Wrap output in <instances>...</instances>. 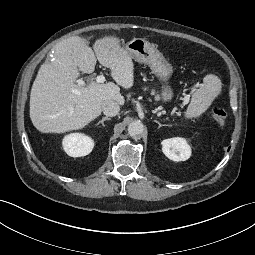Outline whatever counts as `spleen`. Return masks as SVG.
Masks as SVG:
<instances>
[{
    "label": "spleen",
    "instance_id": "1",
    "mask_svg": "<svg viewBox=\"0 0 255 255\" xmlns=\"http://www.w3.org/2000/svg\"><path fill=\"white\" fill-rule=\"evenodd\" d=\"M221 88L222 83L217 76L207 75L202 86L192 95L185 117L196 118L204 113L211 102L220 94Z\"/></svg>",
    "mask_w": 255,
    "mask_h": 255
}]
</instances>
